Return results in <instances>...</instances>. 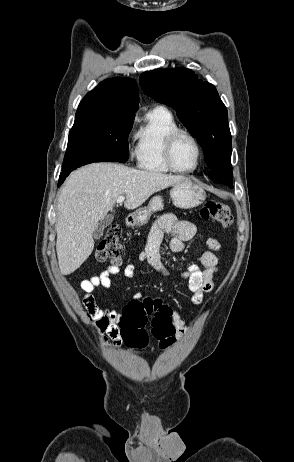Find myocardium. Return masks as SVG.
Returning a JSON list of instances; mask_svg holds the SVG:
<instances>
[{"instance_id": "obj_1", "label": "myocardium", "mask_w": 294, "mask_h": 462, "mask_svg": "<svg viewBox=\"0 0 294 462\" xmlns=\"http://www.w3.org/2000/svg\"><path fill=\"white\" fill-rule=\"evenodd\" d=\"M182 136H185V137L189 138L193 142V144L195 145L196 151H197L196 163L190 169H180V168H178L175 165L174 160H173V148H174V145H175L177 139L179 137H182ZM163 154H164V161H165L166 165L168 166V168L171 171L176 172V173H181V174H188V173L195 172L198 169V167L200 166L202 156H203V151H202V147H201L198 139L192 133H190L187 130L177 128V129L171 131L167 135V137L165 139V143H164Z\"/></svg>"}]
</instances>
